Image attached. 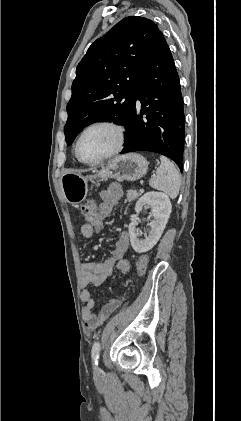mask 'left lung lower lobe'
<instances>
[{
	"label": "left lung lower lobe",
	"mask_w": 241,
	"mask_h": 421,
	"mask_svg": "<svg viewBox=\"0 0 241 421\" xmlns=\"http://www.w3.org/2000/svg\"><path fill=\"white\" fill-rule=\"evenodd\" d=\"M123 153L150 151L183 167L185 117L179 76L162 32L139 75Z\"/></svg>",
	"instance_id": "left-lung-lower-lobe-1"
}]
</instances>
